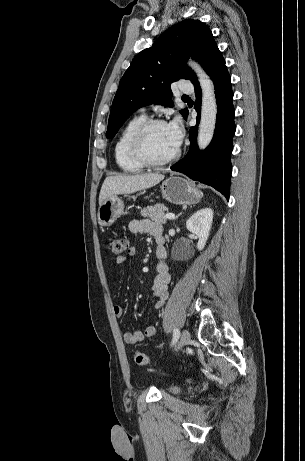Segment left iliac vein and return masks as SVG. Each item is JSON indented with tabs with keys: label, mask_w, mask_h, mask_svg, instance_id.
<instances>
[{
	"label": "left iliac vein",
	"mask_w": 305,
	"mask_h": 461,
	"mask_svg": "<svg viewBox=\"0 0 305 461\" xmlns=\"http://www.w3.org/2000/svg\"><path fill=\"white\" fill-rule=\"evenodd\" d=\"M190 338H191V335L189 333L188 330H183L182 334H181V337H180V340H179V343H178V349L186 346L189 341H190Z\"/></svg>",
	"instance_id": "4c4485c4"
}]
</instances>
